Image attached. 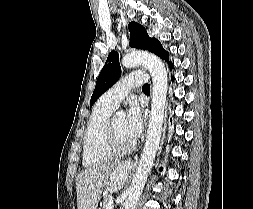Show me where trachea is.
<instances>
[{"label":"trachea","instance_id":"trachea-1","mask_svg":"<svg viewBox=\"0 0 253 209\" xmlns=\"http://www.w3.org/2000/svg\"><path fill=\"white\" fill-rule=\"evenodd\" d=\"M142 88H143V89L150 88V85H149V84H145V85H143Z\"/></svg>","mask_w":253,"mask_h":209}]
</instances>
